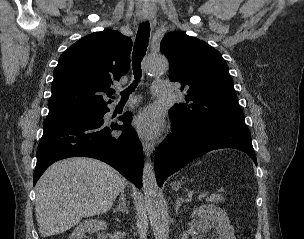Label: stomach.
<instances>
[{
    "label": "stomach",
    "mask_w": 304,
    "mask_h": 239,
    "mask_svg": "<svg viewBox=\"0 0 304 239\" xmlns=\"http://www.w3.org/2000/svg\"><path fill=\"white\" fill-rule=\"evenodd\" d=\"M180 185V183H178L177 185H175V187H178Z\"/></svg>",
    "instance_id": "1"
}]
</instances>
